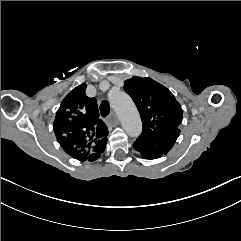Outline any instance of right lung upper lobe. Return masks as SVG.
I'll return each instance as SVG.
<instances>
[{
  "label": "right lung upper lobe",
  "instance_id": "1",
  "mask_svg": "<svg viewBox=\"0 0 241 241\" xmlns=\"http://www.w3.org/2000/svg\"><path fill=\"white\" fill-rule=\"evenodd\" d=\"M85 90L86 84H81L63 99L53 129L68 155L81 162H91L105 151L108 129L99 118L95 98L87 97Z\"/></svg>",
  "mask_w": 241,
  "mask_h": 241
}]
</instances>
